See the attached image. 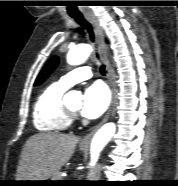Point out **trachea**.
Masks as SVG:
<instances>
[{
    "instance_id": "trachea-1",
    "label": "trachea",
    "mask_w": 178,
    "mask_h": 186,
    "mask_svg": "<svg viewBox=\"0 0 178 186\" xmlns=\"http://www.w3.org/2000/svg\"><path fill=\"white\" fill-rule=\"evenodd\" d=\"M73 18L76 20L77 23L82 25L88 31L89 37H90L91 41H93L94 34H93L92 26L90 25V23L83 16H74ZM100 72L102 75H105V66L104 65L100 66Z\"/></svg>"
}]
</instances>
